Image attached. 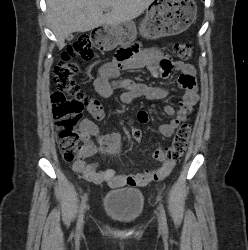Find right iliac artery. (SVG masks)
Segmentation results:
<instances>
[{"mask_svg": "<svg viewBox=\"0 0 248 250\" xmlns=\"http://www.w3.org/2000/svg\"><path fill=\"white\" fill-rule=\"evenodd\" d=\"M86 201H87V195L85 194L82 197V200H81V204H80V208H79L78 221H77V225H76V230H78L80 228V226H81L82 219H83V212H84V209L86 207Z\"/></svg>", "mask_w": 248, "mask_h": 250, "instance_id": "obj_1", "label": "right iliac artery"}]
</instances>
